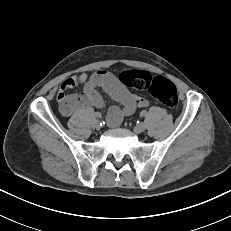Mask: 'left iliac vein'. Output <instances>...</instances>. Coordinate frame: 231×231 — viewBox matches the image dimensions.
Returning a JSON list of instances; mask_svg holds the SVG:
<instances>
[{
  "instance_id": "obj_1",
  "label": "left iliac vein",
  "mask_w": 231,
  "mask_h": 231,
  "mask_svg": "<svg viewBox=\"0 0 231 231\" xmlns=\"http://www.w3.org/2000/svg\"><path fill=\"white\" fill-rule=\"evenodd\" d=\"M145 129H146V125L144 123H140V124L135 126L134 131L139 134V133L145 131Z\"/></svg>"
}]
</instances>
